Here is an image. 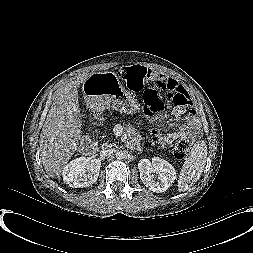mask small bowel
<instances>
[{
  "instance_id": "small-bowel-1",
  "label": "small bowel",
  "mask_w": 253,
  "mask_h": 253,
  "mask_svg": "<svg viewBox=\"0 0 253 253\" xmlns=\"http://www.w3.org/2000/svg\"><path fill=\"white\" fill-rule=\"evenodd\" d=\"M154 73L157 74L158 76H160L163 80H166L172 87L176 88V87L180 86L178 84V82L176 80H174L173 78H170L168 76L162 75L157 72H154ZM184 91L187 93V91L185 89H184ZM183 115H184V110L181 107L176 108L172 113L173 121L179 122ZM186 120H187V123L178 131L167 132L164 134H161L158 131H155L154 132V140L158 143L167 145V144H171L175 139H177L178 137H180L182 135L191 134V131H194L198 128L199 120L194 114L187 115ZM157 121L159 123L163 122V117H159L157 119Z\"/></svg>"
}]
</instances>
